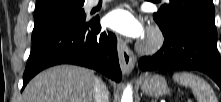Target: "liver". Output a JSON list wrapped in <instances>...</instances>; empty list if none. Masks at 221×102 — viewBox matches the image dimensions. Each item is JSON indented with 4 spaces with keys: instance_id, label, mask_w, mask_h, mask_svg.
I'll return each instance as SVG.
<instances>
[{
    "instance_id": "1",
    "label": "liver",
    "mask_w": 221,
    "mask_h": 102,
    "mask_svg": "<svg viewBox=\"0 0 221 102\" xmlns=\"http://www.w3.org/2000/svg\"><path fill=\"white\" fill-rule=\"evenodd\" d=\"M95 76L92 70L59 65L35 76L23 92V102H91Z\"/></svg>"
}]
</instances>
